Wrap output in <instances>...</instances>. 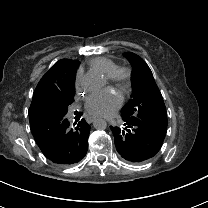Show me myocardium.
I'll return each instance as SVG.
<instances>
[{"label":"myocardium","instance_id":"1","mask_svg":"<svg viewBox=\"0 0 208 208\" xmlns=\"http://www.w3.org/2000/svg\"><path fill=\"white\" fill-rule=\"evenodd\" d=\"M132 72L131 69L128 67H121L114 73V75L108 78L105 83L113 82L117 85L121 86L123 89L127 87L131 80Z\"/></svg>","mask_w":208,"mask_h":208}]
</instances>
